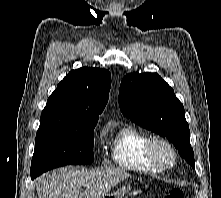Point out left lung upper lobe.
Instances as JSON below:
<instances>
[{"mask_svg":"<svg viewBox=\"0 0 221 198\" xmlns=\"http://www.w3.org/2000/svg\"><path fill=\"white\" fill-rule=\"evenodd\" d=\"M119 106L131 121L170 140L179 154L194 167L183 104L157 73L126 75L119 89Z\"/></svg>","mask_w":221,"mask_h":198,"instance_id":"left-lung-upper-lobe-1","label":"left lung upper lobe"}]
</instances>
